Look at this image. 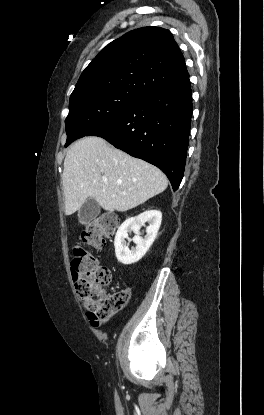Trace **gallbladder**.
I'll return each instance as SVG.
<instances>
[{
	"mask_svg": "<svg viewBox=\"0 0 264 415\" xmlns=\"http://www.w3.org/2000/svg\"><path fill=\"white\" fill-rule=\"evenodd\" d=\"M99 213V204L93 198H88L78 210V220L81 224H86L94 220Z\"/></svg>",
	"mask_w": 264,
	"mask_h": 415,
	"instance_id": "1",
	"label": "gallbladder"
}]
</instances>
